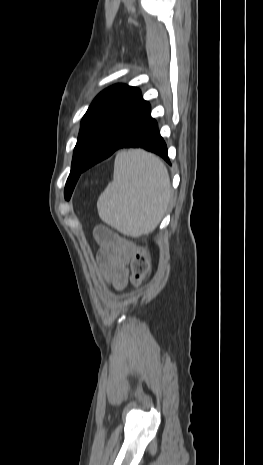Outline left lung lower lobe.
<instances>
[{
    "label": "left lung lower lobe",
    "instance_id": "left-lung-lower-lobe-1",
    "mask_svg": "<svg viewBox=\"0 0 263 465\" xmlns=\"http://www.w3.org/2000/svg\"><path fill=\"white\" fill-rule=\"evenodd\" d=\"M150 112L149 103L143 100L140 93L102 133L83 171L108 158L118 149L129 147L151 151L170 163L167 146Z\"/></svg>",
    "mask_w": 263,
    "mask_h": 465
}]
</instances>
